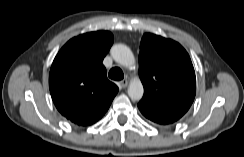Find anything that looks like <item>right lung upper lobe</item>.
<instances>
[{
    "mask_svg": "<svg viewBox=\"0 0 244 157\" xmlns=\"http://www.w3.org/2000/svg\"><path fill=\"white\" fill-rule=\"evenodd\" d=\"M113 40L108 31L79 35L68 41L53 61L49 74L53 102L64 117L77 125L98 121L118 92L102 64Z\"/></svg>",
    "mask_w": 244,
    "mask_h": 157,
    "instance_id": "obj_1",
    "label": "right lung upper lobe"
}]
</instances>
